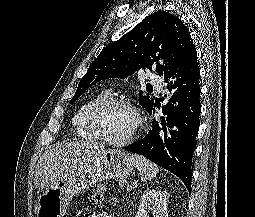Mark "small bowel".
Returning <instances> with one entry per match:
<instances>
[{
	"label": "small bowel",
	"mask_w": 255,
	"mask_h": 217,
	"mask_svg": "<svg viewBox=\"0 0 255 217\" xmlns=\"http://www.w3.org/2000/svg\"><path fill=\"white\" fill-rule=\"evenodd\" d=\"M89 217H112V216L105 213H96V214L90 215Z\"/></svg>",
	"instance_id": "1"
}]
</instances>
